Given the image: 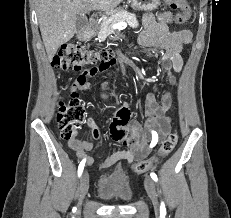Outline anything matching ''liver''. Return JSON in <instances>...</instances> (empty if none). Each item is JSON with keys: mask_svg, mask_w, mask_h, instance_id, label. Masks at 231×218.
<instances>
[{"mask_svg": "<svg viewBox=\"0 0 231 218\" xmlns=\"http://www.w3.org/2000/svg\"><path fill=\"white\" fill-rule=\"evenodd\" d=\"M123 0H35L43 43L51 60L76 33L77 16L91 10L112 14Z\"/></svg>", "mask_w": 231, "mask_h": 218, "instance_id": "liver-1", "label": "liver"}]
</instances>
